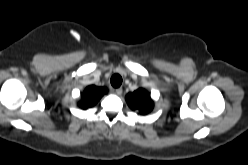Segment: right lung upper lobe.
<instances>
[{
	"instance_id": "obj_1",
	"label": "right lung upper lobe",
	"mask_w": 248,
	"mask_h": 165,
	"mask_svg": "<svg viewBox=\"0 0 248 165\" xmlns=\"http://www.w3.org/2000/svg\"><path fill=\"white\" fill-rule=\"evenodd\" d=\"M106 92L107 89L104 87L94 85L87 87L81 95L80 107L86 109L87 107L95 105Z\"/></svg>"
}]
</instances>
